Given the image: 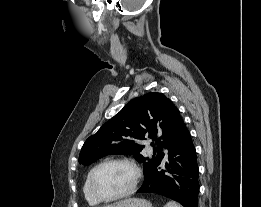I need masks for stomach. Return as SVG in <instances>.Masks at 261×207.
Wrapping results in <instances>:
<instances>
[{
  "label": "stomach",
  "instance_id": "0dacf381",
  "mask_svg": "<svg viewBox=\"0 0 261 207\" xmlns=\"http://www.w3.org/2000/svg\"><path fill=\"white\" fill-rule=\"evenodd\" d=\"M105 207H153L151 202L140 198H128Z\"/></svg>",
  "mask_w": 261,
  "mask_h": 207
}]
</instances>
